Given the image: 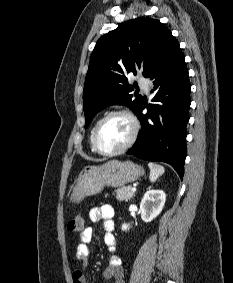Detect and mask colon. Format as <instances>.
<instances>
[{
  "mask_svg": "<svg viewBox=\"0 0 233 283\" xmlns=\"http://www.w3.org/2000/svg\"><path fill=\"white\" fill-rule=\"evenodd\" d=\"M85 219L82 214L75 215L68 223L67 229L70 233H82L84 230Z\"/></svg>",
  "mask_w": 233,
  "mask_h": 283,
  "instance_id": "obj_1",
  "label": "colon"
}]
</instances>
